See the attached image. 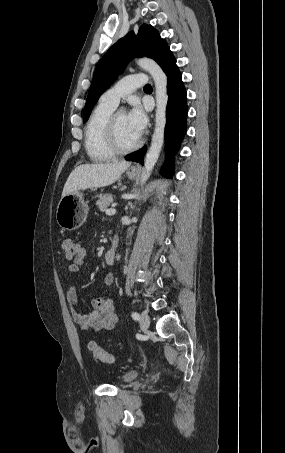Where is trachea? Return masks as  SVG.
Returning <instances> with one entry per match:
<instances>
[{"mask_svg":"<svg viewBox=\"0 0 285 453\" xmlns=\"http://www.w3.org/2000/svg\"><path fill=\"white\" fill-rule=\"evenodd\" d=\"M144 88H151V85H150V84H146V85L144 86Z\"/></svg>","mask_w":285,"mask_h":453,"instance_id":"1","label":"trachea"}]
</instances>
